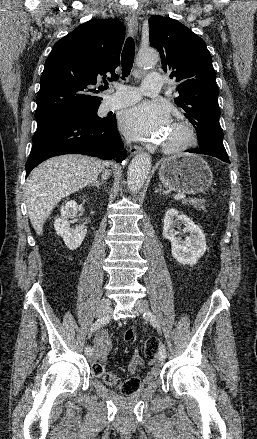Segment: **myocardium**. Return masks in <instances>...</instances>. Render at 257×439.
Wrapping results in <instances>:
<instances>
[{
    "mask_svg": "<svg viewBox=\"0 0 257 439\" xmlns=\"http://www.w3.org/2000/svg\"><path fill=\"white\" fill-rule=\"evenodd\" d=\"M172 126L180 128L184 133V138L182 141L175 144H163L161 146L162 150L167 154H178L187 151L195 146L196 144V134L193 127L185 121H175Z\"/></svg>",
    "mask_w": 257,
    "mask_h": 439,
    "instance_id": "obj_1",
    "label": "myocardium"
}]
</instances>
